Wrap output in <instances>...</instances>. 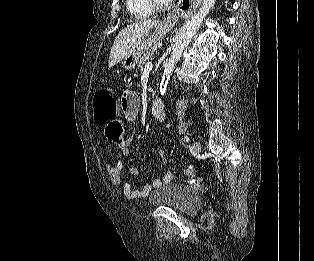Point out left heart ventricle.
<instances>
[{
    "instance_id": "1",
    "label": "left heart ventricle",
    "mask_w": 314,
    "mask_h": 261,
    "mask_svg": "<svg viewBox=\"0 0 314 261\" xmlns=\"http://www.w3.org/2000/svg\"><path fill=\"white\" fill-rule=\"evenodd\" d=\"M160 1H163V2H165V1H167V0H160Z\"/></svg>"
}]
</instances>
